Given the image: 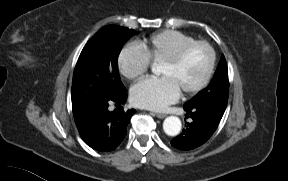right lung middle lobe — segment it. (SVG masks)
I'll use <instances>...</instances> for the list:
<instances>
[{
    "label": "right lung middle lobe",
    "instance_id": "dd1d6c3e",
    "mask_svg": "<svg viewBox=\"0 0 288 181\" xmlns=\"http://www.w3.org/2000/svg\"><path fill=\"white\" fill-rule=\"evenodd\" d=\"M137 32L121 26L101 28L85 45L72 81V108L83 110L125 91L118 73L124 43Z\"/></svg>",
    "mask_w": 288,
    "mask_h": 181
}]
</instances>
